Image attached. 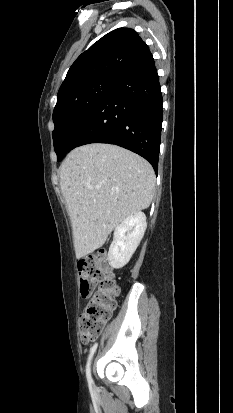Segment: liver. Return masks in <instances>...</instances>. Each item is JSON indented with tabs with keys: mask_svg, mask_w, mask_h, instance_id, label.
<instances>
[{
	"mask_svg": "<svg viewBox=\"0 0 233 413\" xmlns=\"http://www.w3.org/2000/svg\"><path fill=\"white\" fill-rule=\"evenodd\" d=\"M60 179L77 259L102 247L119 223L148 208L155 186L154 170L144 158L98 143L72 150L60 166Z\"/></svg>",
	"mask_w": 233,
	"mask_h": 413,
	"instance_id": "6515ba94",
	"label": "liver"
}]
</instances>
